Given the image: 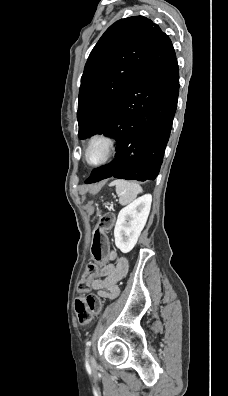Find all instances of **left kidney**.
<instances>
[{
	"instance_id": "obj_1",
	"label": "left kidney",
	"mask_w": 228,
	"mask_h": 396,
	"mask_svg": "<svg viewBox=\"0 0 228 396\" xmlns=\"http://www.w3.org/2000/svg\"><path fill=\"white\" fill-rule=\"evenodd\" d=\"M152 196L146 194L124 207L118 214L114 229L115 245L122 253L136 245L150 213Z\"/></svg>"
}]
</instances>
